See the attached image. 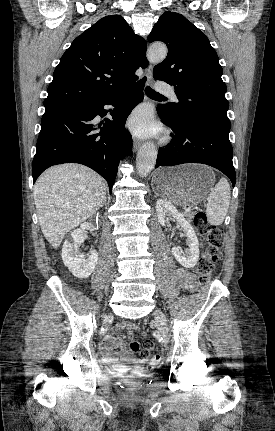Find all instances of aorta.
Here are the masks:
<instances>
[{"mask_svg":"<svg viewBox=\"0 0 275 431\" xmlns=\"http://www.w3.org/2000/svg\"><path fill=\"white\" fill-rule=\"evenodd\" d=\"M167 47L164 44H153L147 51V59L151 63H159L167 56ZM157 159V150L151 142L145 143L138 151L136 158V167L139 175L147 176L155 167Z\"/></svg>","mask_w":275,"mask_h":431,"instance_id":"aorta-1","label":"aorta"}]
</instances>
